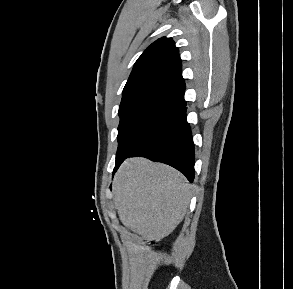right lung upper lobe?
Returning <instances> with one entry per match:
<instances>
[{"label":"right lung upper lobe","mask_w":293,"mask_h":289,"mask_svg":"<svg viewBox=\"0 0 293 289\" xmlns=\"http://www.w3.org/2000/svg\"><path fill=\"white\" fill-rule=\"evenodd\" d=\"M179 50L172 38L152 43L135 62L123 89L122 101L138 98L160 99L178 108L186 105Z\"/></svg>","instance_id":"1"}]
</instances>
